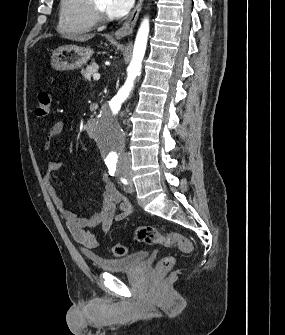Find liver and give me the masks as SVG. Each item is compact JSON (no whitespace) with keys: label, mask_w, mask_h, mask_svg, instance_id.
<instances>
[{"label":"liver","mask_w":285,"mask_h":335,"mask_svg":"<svg viewBox=\"0 0 285 335\" xmlns=\"http://www.w3.org/2000/svg\"><path fill=\"white\" fill-rule=\"evenodd\" d=\"M67 40H75V42H86V40H91L94 38V34H85V36H65Z\"/></svg>","instance_id":"liver-1"}]
</instances>
